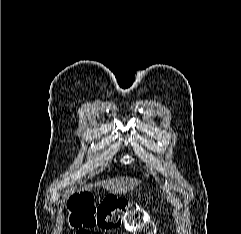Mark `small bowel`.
Listing matches in <instances>:
<instances>
[{"label":"small bowel","instance_id":"obj_1","mask_svg":"<svg viewBox=\"0 0 241 234\" xmlns=\"http://www.w3.org/2000/svg\"><path fill=\"white\" fill-rule=\"evenodd\" d=\"M77 234H99V233H92L89 230L83 229V230H80Z\"/></svg>","mask_w":241,"mask_h":234}]
</instances>
